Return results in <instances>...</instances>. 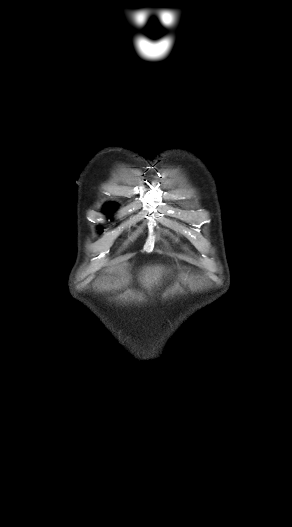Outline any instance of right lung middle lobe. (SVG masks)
<instances>
[{
	"instance_id": "right-lung-middle-lobe-1",
	"label": "right lung middle lobe",
	"mask_w": 292,
	"mask_h": 527,
	"mask_svg": "<svg viewBox=\"0 0 292 527\" xmlns=\"http://www.w3.org/2000/svg\"><path fill=\"white\" fill-rule=\"evenodd\" d=\"M105 210L109 213L113 210V206H106Z\"/></svg>"
}]
</instances>
